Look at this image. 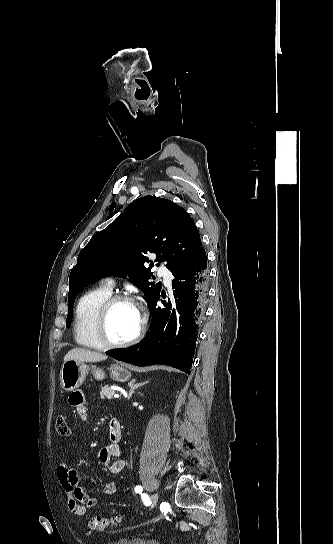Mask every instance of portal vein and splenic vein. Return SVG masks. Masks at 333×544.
Wrapping results in <instances>:
<instances>
[{"label":"portal vein and splenic vein","mask_w":333,"mask_h":544,"mask_svg":"<svg viewBox=\"0 0 333 544\" xmlns=\"http://www.w3.org/2000/svg\"><path fill=\"white\" fill-rule=\"evenodd\" d=\"M113 396H114V398H119L120 397L119 394H114Z\"/></svg>","instance_id":"18ae733b"}]
</instances>
